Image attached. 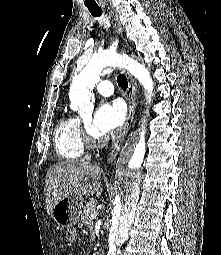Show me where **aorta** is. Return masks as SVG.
<instances>
[{
	"label": "aorta",
	"mask_w": 221,
	"mask_h": 255,
	"mask_svg": "<svg viewBox=\"0 0 221 255\" xmlns=\"http://www.w3.org/2000/svg\"><path fill=\"white\" fill-rule=\"evenodd\" d=\"M120 65H122V57L112 51L92 56L72 80L69 91L71 108L78 111L82 117H91L94 109L93 88L99 82L102 71L108 67ZM136 76L150 93L153 86L147 73L140 69ZM144 156L145 143L140 140L134 151L126 148L118 159L115 176V208L109 234L110 243L112 246L114 245V248H110V255L120 254V246L129 237V230L135 218L139 198ZM116 246L119 249H116Z\"/></svg>",
	"instance_id": "obj_1"
}]
</instances>
